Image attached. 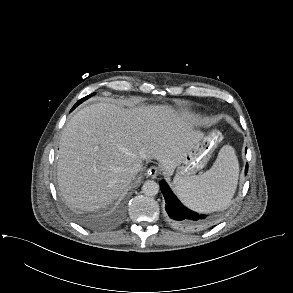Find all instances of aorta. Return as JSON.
Here are the masks:
<instances>
[{
    "mask_svg": "<svg viewBox=\"0 0 293 293\" xmlns=\"http://www.w3.org/2000/svg\"><path fill=\"white\" fill-rule=\"evenodd\" d=\"M142 192L146 196H155L159 192V185L153 180H147L142 186Z\"/></svg>",
    "mask_w": 293,
    "mask_h": 293,
    "instance_id": "obj_1",
    "label": "aorta"
}]
</instances>
